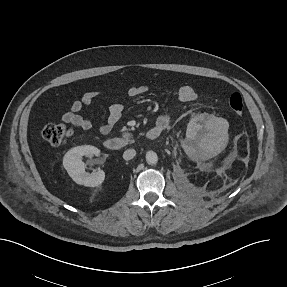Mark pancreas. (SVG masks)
Returning a JSON list of instances; mask_svg holds the SVG:
<instances>
[{
  "instance_id": "pancreas-1",
  "label": "pancreas",
  "mask_w": 287,
  "mask_h": 287,
  "mask_svg": "<svg viewBox=\"0 0 287 287\" xmlns=\"http://www.w3.org/2000/svg\"><path fill=\"white\" fill-rule=\"evenodd\" d=\"M123 138L128 141V142H133L134 140H132V135L130 133H123Z\"/></svg>"
}]
</instances>
